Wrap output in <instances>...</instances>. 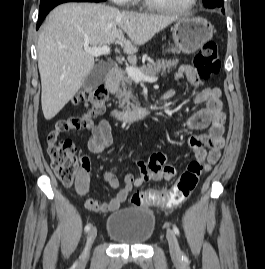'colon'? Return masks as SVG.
<instances>
[{"label":"colon","mask_w":265,"mask_h":269,"mask_svg":"<svg viewBox=\"0 0 265 269\" xmlns=\"http://www.w3.org/2000/svg\"><path fill=\"white\" fill-rule=\"evenodd\" d=\"M194 65L203 78H209L219 73L221 64L214 41H207L202 45L194 58ZM107 97L108 91L103 85L81 93L78 101L85 107V112L80 116L58 121L47 137V152L51 166L59 181L65 186L75 183L81 170V162L75 154L72 142L69 140L58 141V137L61 133L72 130L89 129L91 120L104 111ZM202 170V162L192 160L169 190H139L132 195L131 202L136 206L172 207L179 205L187 200L196 189Z\"/></svg>","instance_id":"obj_1"}]
</instances>
